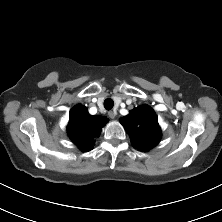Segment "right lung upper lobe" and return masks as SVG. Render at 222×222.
<instances>
[{"label":"right lung upper lobe","instance_id":"cb5924a9","mask_svg":"<svg viewBox=\"0 0 222 222\" xmlns=\"http://www.w3.org/2000/svg\"><path fill=\"white\" fill-rule=\"evenodd\" d=\"M107 122L106 117L92 116L85 106L78 104L69 114L68 136L81 151H89L93 148V139Z\"/></svg>","mask_w":222,"mask_h":222}]
</instances>
